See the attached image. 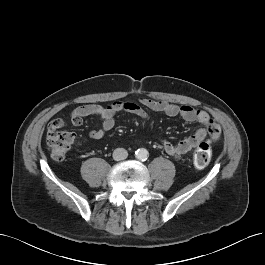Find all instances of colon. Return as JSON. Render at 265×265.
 Wrapping results in <instances>:
<instances>
[{
  "label": "colon",
  "instance_id": "obj_1",
  "mask_svg": "<svg viewBox=\"0 0 265 265\" xmlns=\"http://www.w3.org/2000/svg\"><path fill=\"white\" fill-rule=\"evenodd\" d=\"M65 123L58 119L54 120L48 127L47 145L51 156L55 160H62L70 151L75 143V135L67 130H64ZM212 156L211 147L208 143H201L193 154V165L202 169L205 168Z\"/></svg>",
  "mask_w": 265,
  "mask_h": 265
}]
</instances>
